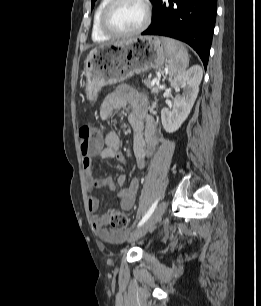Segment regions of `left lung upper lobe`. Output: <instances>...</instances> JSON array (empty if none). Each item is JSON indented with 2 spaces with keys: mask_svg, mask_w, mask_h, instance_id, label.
I'll return each mask as SVG.
<instances>
[{
  "mask_svg": "<svg viewBox=\"0 0 261 306\" xmlns=\"http://www.w3.org/2000/svg\"><path fill=\"white\" fill-rule=\"evenodd\" d=\"M96 0H92V6L94 5V2H95ZM151 2H153L154 0H150Z\"/></svg>",
  "mask_w": 261,
  "mask_h": 306,
  "instance_id": "5c2ea615",
  "label": "left lung upper lobe"
}]
</instances>
